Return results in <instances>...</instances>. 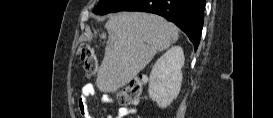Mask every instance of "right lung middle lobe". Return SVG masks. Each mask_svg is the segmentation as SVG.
Masks as SVG:
<instances>
[{
  "mask_svg": "<svg viewBox=\"0 0 273 118\" xmlns=\"http://www.w3.org/2000/svg\"><path fill=\"white\" fill-rule=\"evenodd\" d=\"M125 0H100L98 5L94 7L93 12L97 15H105L113 12Z\"/></svg>",
  "mask_w": 273,
  "mask_h": 118,
  "instance_id": "obj_1",
  "label": "right lung middle lobe"
}]
</instances>
